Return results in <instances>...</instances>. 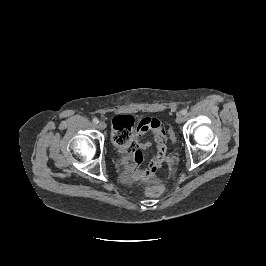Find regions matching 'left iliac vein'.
<instances>
[{"label": "left iliac vein", "mask_w": 266, "mask_h": 266, "mask_svg": "<svg viewBox=\"0 0 266 266\" xmlns=\"http://www.w3.org/2000/svg\"><path fill=\"white\" fill-rule=\"evenodd\" d=\"M183 121H184V116H183V114L178 113L177 116H176V122H177L178 124H181Z\"/></svg>", "instance_id": "obj_1"}]
</instances>
